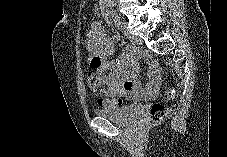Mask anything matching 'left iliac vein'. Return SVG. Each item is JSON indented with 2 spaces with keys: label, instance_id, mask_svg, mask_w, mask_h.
Wrapping results in <instances>:
<instances>
[{
  "label": "left iliac vein",
  "instance_id": "4c4485c4",
  "mask_svg": "<svg viewBox=\"0 0 227 157\" xmlns=\"http://www.w3.org/2000/svg\"><path fill=\"white\" fill-rule=\"evenodd\" d=\"M123 33L130 39V41L133 43V44H136V45H141L142 44V40L137 37V36H134V35H131L127 30H126V23L125 22H122V27H121Z\"/></svg>",
  "mask_w": 227,
  "mask_h": 157
}]
</instances>
